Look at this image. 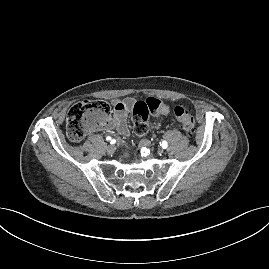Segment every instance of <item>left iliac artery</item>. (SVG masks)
<instances>
[{"mask_svg": "<svg viewBox=\"0 0 269 269\" xmlns=\"http://www.w3.org/2000/svg\"><path fill=\"white\" fill-rule=\"evenodd\" d=\"M160 146L163 148V149H166L168 147V143L166 141H161L160 142Z\"/></svg>", "mask_w": 269, "mask_h": 269, "instance_id": "obj_1", "label": "left iliac artery"}]
</instances>
